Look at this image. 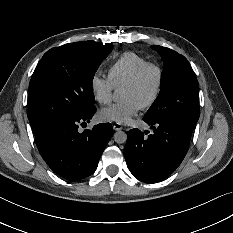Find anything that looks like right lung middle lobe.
<instances>
[{
	"mask_svg": "<svg viewBox=\"0 0 233 233\" xmlns=\"http://www.w3.org/2000/svg\"><path fill=\"white\" fill-rule=\"evenodd\" d=\"M112 44L75 42L47 51L29 84L31 127L83 114L95 102L92 80Z\"/></svg>",
	"mask_w": 233,
	"mask_h": 233,
	"instance_id": "dd1d6c3e",
	"label": "right lung middle lobe"
}]
</instances>
